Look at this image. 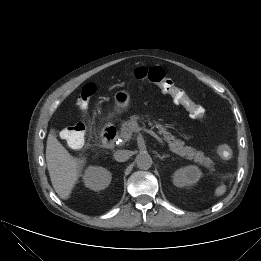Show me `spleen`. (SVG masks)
I'll return each mask as SVG.
<instances>
[{
    "label": "spleen",
    "mask_w": 261,
    "mask_h": 261,
    "mask_svg": "<svg viewBox=\"0 0 261 261\" xmlns=\"http://www.w3.org/2000/svg\"><path fill=\"white\" fill-rule=\"evenodd\" d=\"M226 192V185L220 184L214 191L215 198L221 197Z\"/></svg>",
    "instance_id": "obj_1"
}]
</instances>
